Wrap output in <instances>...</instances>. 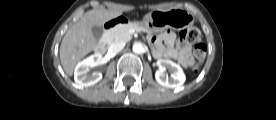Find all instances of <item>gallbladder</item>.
<instances>
[{
    "mask_svg": "<svg viewBox=\"0 0 276 120\" xmlns=\"http://www.w3.org/2000/svg\"><path fill=\"white\" fill-rule=\"evenodd\" d=\"M92 32L96 39H100L103 35V28L102 26H93Z\"/></svg>",
    "mask_w": 276,
    "mask_h": 120,
    "instance_id": "gallbladder-1",
    "label": "gallbladder"
}]
</instances>
